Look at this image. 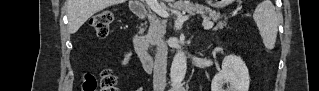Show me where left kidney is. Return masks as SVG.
<instances>
[{"label":"left kidney","mask_w":319,"mask_h":91,"mask_svg":"<svg viewBox=\"0 0 319 91\" xmlns=\"http://www.w3.org/2000/svg\"><path fill=\"white\" fill-rule=\"evenodd\" d=\"M228 83L230 86L224 89ZM249 84V72L244 61L238 56L228 55L223 59L222 70L212 80L211 91H248Z\"/></svg>","instance_id":"obj_1"}]
</instances>
